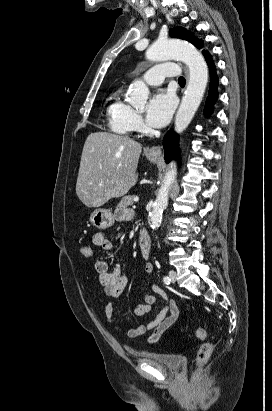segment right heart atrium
<instances>
[{
  "label": "right heart atrium",
  "mask_w": 272,
  "mask_h": 411,
  "mask_svg": "<svg viewBox=\"0 0 272 411\" xmlns=\"http://www.w3.org/2000/svg\"><path fill=\"white\" fill-rule=\"evenodd\" d=\"M130 125L132 130H140L143 126L141 116L133 110L130 114Z\"/></svg>",
  "instance_id": "d8ad5b80"
}]
</instances>
